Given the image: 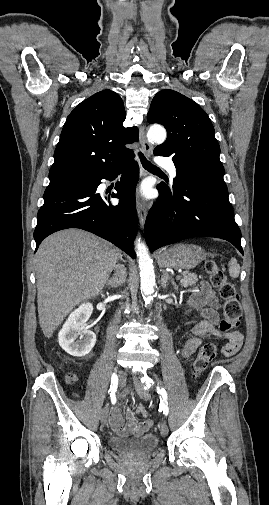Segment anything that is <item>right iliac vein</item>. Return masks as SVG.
<instances>
[{"label":"right iliac vein","mask_w":269,"mask_h":505,"mask_svg":"<svg viewBox=\"0 0 269 505\" xmlns=\"http://www.w3.org/2000/svg\"><path fill=\"white\" fill-rule=\"evenodd\" d=\"M126 379H127V376L125 375V372L119 371V375L117 376V382L119 383L120 386H118V389H121V387H124L126 385ZM100 420H101V425L105 426L107 423V420H108L107 407L103 408V410L101 412Z\"/></svg>","instance_id":"63e3f726"}]
</instances>
